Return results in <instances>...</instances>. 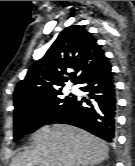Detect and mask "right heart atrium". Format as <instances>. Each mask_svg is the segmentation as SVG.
Masks as SVG:
<instances>
[{
    "label": "right heart atrium",
    "instance_id": "obj_1",
    "mask_svg": "<svg viewBox=\"0 0 135 166\" xmlns=\"http://www.w3.org/2000/svg\"><path fill=\"white\" fill-rule=\"evenodd\" d=\"M51 118V112L49 110H41L37 114V121L39 124H45Z\"/></svg>",
    "mask_w": 135,
    "mask_h": 166
}]
</instances>
